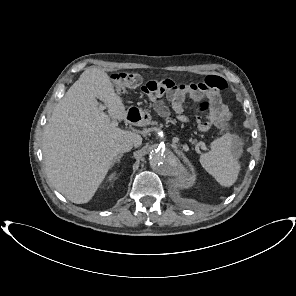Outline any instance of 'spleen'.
<instances>
[{
  "mask_svg": "<svg viewBox=\"0 0 296 296\" xmlns=\"http://www.w3.org/2000/svg\"><path fill=\"white\" fill-rule=\"evenodd\" d=\"M210 147L209 152L200 156L202 167L222 186L233 185L240 170V164L237 160V138L227 132L215 139Z\"/></svg>",
  "mask_w": 296,
  "mask_h": 296,
  "instance_id": "1",
  "label": "spleen"
}]
</instances>
